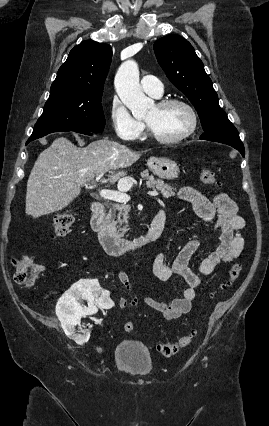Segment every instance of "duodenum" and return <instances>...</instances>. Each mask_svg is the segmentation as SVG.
<instances>
[{"instance_id": "obj_1", "label": "duodenum", "mask_w": 269, "mask_h": 426, "mask_svg": "<svg viewBox=\"0 0 269 426\" xmlns=\"http://www.w3.org/2000/svg\"><path fill=\"white\" fill-rule=\"evenodd\" d=\"M91 226L107 254L112 256L122 255L140 249L154 241L162 234L166 223V212L159 209L148 231L135 238H125L113 232L105 220V207L100 200H95L91 207Z\"/></svg>"}]
</instances>
